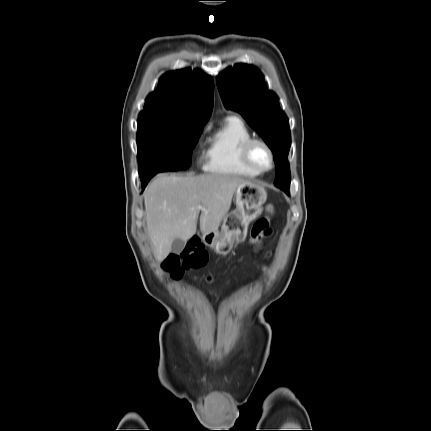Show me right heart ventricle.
Masks as SVG:
<instances>
[{
  "instance_id": "right-heart-ventricle-1",
  "label": "right heart ventricle",
  "mask_w": 431,
  "mask_h": 431,
  "mask_svg": "<svg viewBox=\"0 0 431 431\" xmlns=\"http://www.w3.org/2000/svg\"><path fill=\"white\" fill-rule=\"evenodd\" d=\"M252 135L241 118L229 115L223 125L209 139L204 169L207 172L255 177L260 173L252 170L241 159V148Z\"/></svg>"
}]
</instances>
